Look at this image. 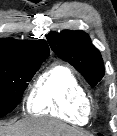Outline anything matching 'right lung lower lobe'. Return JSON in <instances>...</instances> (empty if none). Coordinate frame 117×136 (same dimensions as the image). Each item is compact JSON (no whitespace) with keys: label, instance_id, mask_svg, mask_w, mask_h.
Returning a JSON list of instances; mask_svg holds the SVG:
<instances>
[{"label":"right lung lower lobe","instance_id":"98d812e1","mask_svg":"<svg viewBox=\"0 0 117 136\" xmlns=\"http://www.w3.org/2000/svg\"><path fill=\"white\" fill-rule=\"evenodd\" d=\"M5 114H0V117H3Z\"/></svg>","mask_w":117,"mask_h":136}]
</instances>
